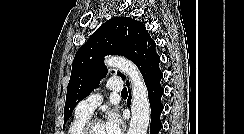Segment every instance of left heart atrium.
Masks as SVG:
<instances>
[{
    "instance_id": "39dd6f15",
    "label": "left heart atrium",
    "mask_w": 244,
    "mask_h": 134,
    "mask_svg": "<svg viewBox=\"0 0 244 134\" xmlns=\"http://www.w3.org/2000/svg\"><path fill=\"white\" fill-rule=\"evenodd\" d=\"M121 120L115 114H110L104 123L106 134H121Z\"/></svg>"
}]
</instances>
